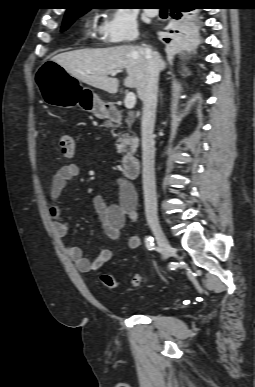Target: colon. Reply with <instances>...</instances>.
Segmentation results:
<instances>
[{"instance_id": "1", "label": "colon", "mask_w": 255, "mask_h": 387, "mask_svg": "<svg viewBox=\"0 0 255 387\" xmlns=\"http://www.w3.org/2000/svg\"><path fill=\"white\" fill-rule=\"evenodd\" d=\"M59 150L64 158H70L75 151V139L72 135L64 133L59 137ZM142 276L140 274H134L131 277V285L133 287H139L142 284ZM100 284L108 289H115L118 286L115 276L109 273H103L100 276Z\"/></svg>"}]
</instances>
